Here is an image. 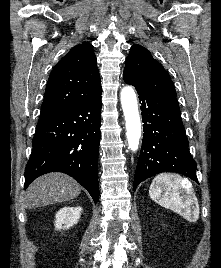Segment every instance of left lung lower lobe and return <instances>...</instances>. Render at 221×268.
I'll list each match as a JSON object with an SVG mask.
<instances>
[{
  "mask_svg": "<svg viewBox=\"0 0 221 268\" xmlns=\"http://www.w3.org/2000/svg\"><path fill=\"white\" fill-rule=\"evenodd\" d=\"M137 90L141 102L143 142L137 163L133 189L160 172H177L193 179L196 162L188 150L176 96Z\"/></svg>",
  "mask_w": 221,
  "mask_h": 268,
  "instance_id": "left-lung-lower-lobe-1",
  "label": "left lung lower lobe"
}]
</instances>
